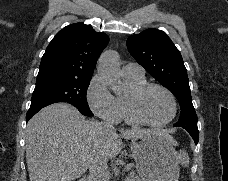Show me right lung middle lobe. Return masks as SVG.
Listing matches in <instances>:
<instances>
[{
	"mask_svg": "<svg viewBox=\"0 0 228 181\" xmlns=\"http://www.w3.org/2000/svg\"><path fill=\"white\" fill-rule=\"evenodd\" d=\"M90 79H76L60 75L37 77L31 99V109L43 108L57 102L74 105L83 115L93 116L86 93Z\"/></svg>",
	"mask_w": 228,
	"mask_h": 181,
	"instance_id": "1",
	"label": "right lung middle lobe"
}]
</instances>
